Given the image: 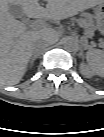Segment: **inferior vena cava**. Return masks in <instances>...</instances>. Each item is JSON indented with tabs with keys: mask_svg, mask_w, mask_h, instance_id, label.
I'll use <instances>...</instances> for the list:
<instances>
[{
	"mask_svg": "<svg viewBox=\"0 0 104 137\" xmlns=\"http://www.w3.org/2000/svg\"><path fill=\"white\" fill-rule=\"evenodd\" d=\"M47 46H48V43L45 42V41L38 43V44L35 46V49H34L35 55H37V54H39V53H42Z\"/></svg>",
	"mask_w": 104,
	"mask_h": 137,
	"instance_id": "1",
	"label": "inferior vena cava"
}]
</instances>
